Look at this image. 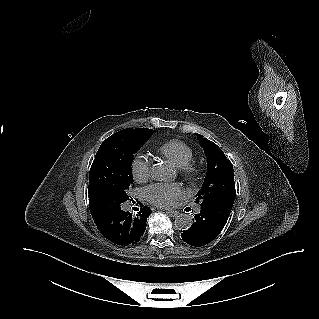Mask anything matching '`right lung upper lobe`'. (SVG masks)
<instances>
[{
  "label": "right lung upper lobe",
  "mask_w": 319,
  "mask_h": 319,
  "mask_svg": "<svg viewBox=\"0 0 319 319\" xmlns=\"http://www.w3.org/2000/svg\"><path fill=\"white\" fill-rule=\"evenodd\" d=\"M127 130H129L130 132H132L135 135L143 136V135H145V133L149 129L148 128H137V129L127 128Z\"/></svg>",
  "instance_id": "right-lung-upper-lobe-1"
}]
</instances>
